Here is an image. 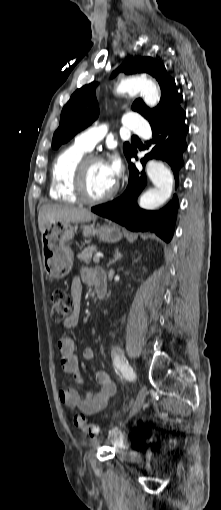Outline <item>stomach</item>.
Wrapping results in <instances>:
<instances>
[{"mask_svg": "<svg viewBox=\"0 0 221 510\" xmlns=\"http://www.w3.org/2000/svg\"><path fill=\"white\" fill-rule=\"evenodd\" d=\"M77 227L68 222H51L42 234V256L46 272L50 278H64L73 266V251L69 241L73 239ZM85 237L97 236L101 241L115 243L121 240L122 232L114 224L95 227L93 224L82 226Z\"/></svg>", "mask_w": 221, "mask_h": 510, "instance_id": "obj_1", "label": "stomach"}]
</instances>
